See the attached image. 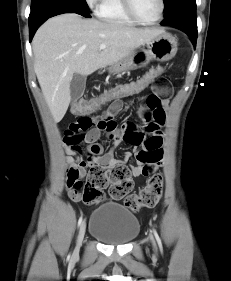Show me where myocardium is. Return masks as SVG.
Masks as SVG:
<instances>
[{
	"label": "myocardium",
	"instance_id": "myocardium-1",
	"mask_svg": "<svg viewBox=\"0 0 231 281\" xmlns=\"http://www.w3.org/2000/svg\"><path fill=\"white\" fill-rule=\"evenodd\" d=\"M123 8L125 12L128 14V16L134 20L137 23L143 24V25H155L158 22H160L163 19L164 12H165V0H160V12L156 19L147 21L138 16L136 13L132 0H121Z\"/></svg>",
	"mask_w": 231,
	"mask_h": 281
}]
</instances>
